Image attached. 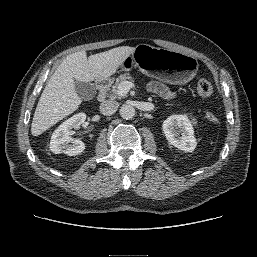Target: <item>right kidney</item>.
I'll use <instances>...</instances> for the list:
<instances>
[{"instance_id":"ca27d5eb","label":"right kidney","mask_w":257,"mask_h":257,"mask_svg":"<svg viewBox=\"0 0 257 257\" xmlns=\"http://www.w3.org/2000/svg\"><path fill=\"white\" fill-rule=\"evenodd\" d=\"M86 114L81 112L73 115L64 121L52 134L50 140V150L54 154L64 153L69 156L81 154L85 149V144L79 139H73L70 131L84 124ZM72 142V144H69Z\"/></svg>"}]
</instances>
